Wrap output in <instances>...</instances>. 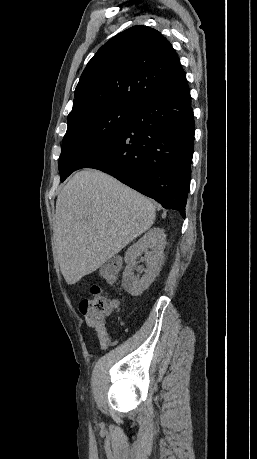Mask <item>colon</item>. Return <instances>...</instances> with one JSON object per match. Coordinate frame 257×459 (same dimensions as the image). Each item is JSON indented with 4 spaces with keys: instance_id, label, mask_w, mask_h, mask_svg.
<instances>
[{
    "instance_id": "colon-1",
    "label": "colon",
    "mask_w": 257,
    "mask_h": 459,
    "mask_svg": "<svg viewBox=\"0 0 257 459\" xmlns=\"http://www.w3.org/2000/svg\"><path fill=\"white\" fill-rule=\"evenodd\" d=\"M121 269V261L113 258L107 261L100 268V276L105 280H113L117 277ZM92 297L84 299L80 302V312L87 315H92L97 320H103L109 316L113 310L114 300L108 298L101 291L98 285H93L91 288Z\"/></svg>"
}]
</instances>
